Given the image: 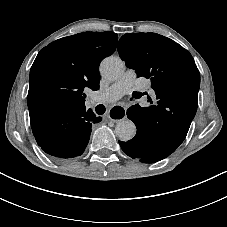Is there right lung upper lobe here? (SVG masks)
Returning <instances> with one entry per match:
<instances>
[{
    "instance_id": "cb5924a9",
    "label": "right lung upper lobe",
    "mask_w": 227,
    "mask_h": 227,
    "mask_svg": "<svg viewBox=\"0 0 227 227\" xmlns=\"http://www.w3.org/2000/svg\"><path fill=\"white\" fill-rule=\"evenodd\" d=\"M114 32H83L44 47L37 55L29 78L28 108L41 98L59 107H85L87 88H99V64L114 53Z\"/></svg>"
}]
</instances>
